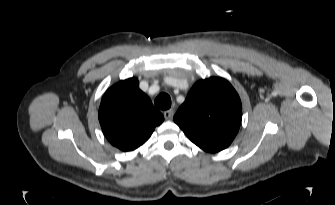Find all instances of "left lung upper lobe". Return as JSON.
Segmentation results:
<instances>
[{"label": "left lung upper lobe", "instance_id": "5c2ea615", "mask_svg": "<svg viewBox=\"0 0 335 205\" xmlns=\"http://www.w3.org/2000/svg\"><path fill=\"white\" fill-rule=\"evenodd\" d=\"M173 119L198 147L219 152L227 148L238 133L241 101L227 80L211 77L193 85Z\"/></svg>", "mask_w": 335, "mask_h": 205}]
</instances>
